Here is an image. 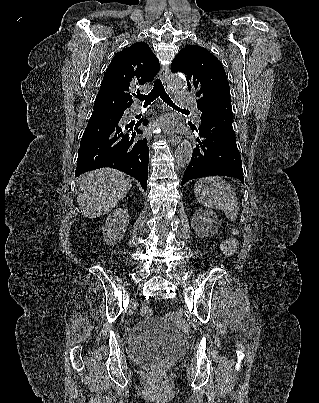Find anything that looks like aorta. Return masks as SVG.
Returning <instances> with one entry per match:
<instances>
[{"label":"aorta","instance_id":"1","mask_svg":"<svg viewBox=\"0 0 319 403\" xmlns=\"http://www.w3.org/2000/svg\"><path fill=\"white\" fill-rule=\"evenodd\" d=\"M168 85L172 90L175 91H183L186 89V81L182 76L172 74L169 77L168 80ZM192 152H193V147L190 141L184 140L181 142V144L178 146L176 152H175V157H176V162L178 166L184 167L186 166L192 157Z\"/></svg>","mask_w":319,"mask_h":403}]
</instances>
